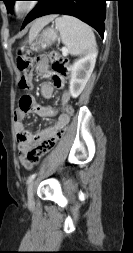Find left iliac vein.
Returning <instances> with one entry per match:
<instances>
[{
  "label": "left iliac vein",
  "instance_id": "obj_1",
  "mask_svg": "<svg viewBox=\"0 0 133 253\" xmlns=\"http://www.w3.org/2000/svg\"><path fill=\"white\" fill-rule=\"evenodd\" d=\"M36 185V181L30 182L27 190V195H28V203L29 205L34 204V187Z\"/></svg>",
  "mask_w": 133,
  "mask_h": 253
}]
</instances>
